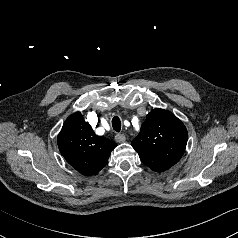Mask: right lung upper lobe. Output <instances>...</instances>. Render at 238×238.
I'll return each instance as SVG.
<instances>
[{
	"label": "right lung upper lobe",
	"instance_id": "right-lung-upper-lobe-1",
	"mask_svg": "<svg viewBox=\"0 0 238 238\" xmlns=\"http://www.w3.org/2000/svg\"><path fill=\"white\" fill-rule=\"evenodd\" d=\"M59 150L66 161L85 176L96 175L108 163L116 144L97 136L82 114L69 116L57 137Z\"/></svg>",
	"mask_w": 238,
	"mask_h": 238
}]
</instances>
